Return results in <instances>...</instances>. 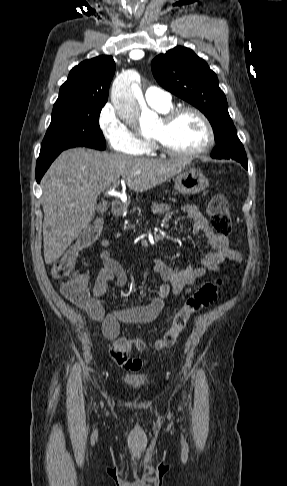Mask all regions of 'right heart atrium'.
<instances>
[{
	"mask_svg": "<svg viewBox=\"0 0 287 486\" xmlns=\"http://www.w3.org/2000/svg\"><path fill=\"white\" fill-rule=\"evenodd\" d=\"M99 129L116 152L139 154L143 148V140L121 119L111 103H106L98 115Z\"/></svg>",
	"mask_w": 287,
	"mask_h": 486,
	"instance_id": "d8ad5b80",
	"label": "right heart atrium"
}]
</instances>
